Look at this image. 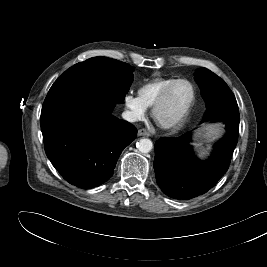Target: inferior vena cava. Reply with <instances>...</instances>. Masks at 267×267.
Here are the masks:
<instances>
[{"instance_id":"1","label":"inferior vena cava","mask_w":267,"mask_h":267,"mask_svg":"<svg viewBox=\"0 0 267 267\" xmlns=\"http://www.w3.org/2000/svg\"><path fill=\"white\" fill-rule=\"evenodd\" d=\"M122 117H123L124 120H126L128 122H136L137 121V116L132 111H124L122 113Z\"/></svg>"}]
</instances>
